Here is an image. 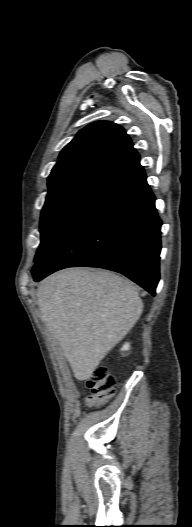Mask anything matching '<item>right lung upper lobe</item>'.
I'll use <instances>...</instances> for the list:
<instances>
[{
    "instance_id": "right-lung-upper-lobe-1",
    "label": "right lung upper lobe",
    "mask_w": 192,
    "mask_h": 527,
    "mask_svg": "<svg viewBox=\"0 0 192 527\" xmlns=\"http://www.w3.org/2000/svg\"><path fill=\"white\" fill-rule=\"evenodd\" d=\"M139 158L125 130L109 121L81 129L62 150L48 178L50 188L86 178L109 181Z\"/></svg>"
}]
</instances>
